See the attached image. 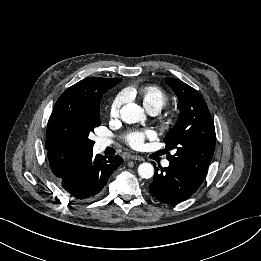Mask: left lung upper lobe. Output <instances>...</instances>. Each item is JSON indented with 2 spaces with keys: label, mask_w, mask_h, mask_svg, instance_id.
<instances>
[{
  "label": "left lung upper lobe",
  "mask_w": 261,
  "mask_h": 261,
  "mask_svg": "<svg viewBox=\"0 0 261 261\" xmlns=\"http://www.w3.org/2000/svg\"><path fill=\"white\" fill-rule=\"evenodd\" d=\"M166 82L180 104L179 118L164 138L166 147L176 150L174 155L168 153L167 159L194 181L202 183L215 149L214 123L198 91L174 78H166Z\"/></svg>",
  "instance_id": "1"
}]
</instances>
